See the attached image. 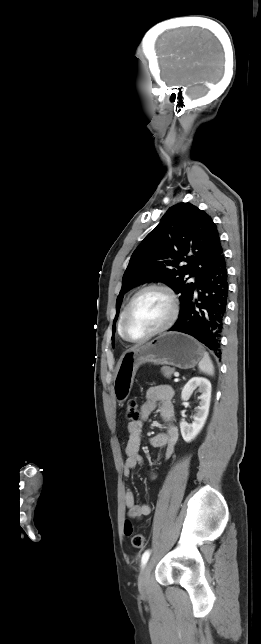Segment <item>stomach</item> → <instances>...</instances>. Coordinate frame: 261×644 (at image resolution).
I'll return each mask as SVG.
<instances>
[{"instance_id":"1","label":"stomach","mask_w":261,"mask_h":644,"mask_svg":"<svg viewBox=\"0 0 261 644\" xmlns=\"http://www.w3.org/2000/svg\"><path fill=\"white\" fill-rule=\"evenodd\" d=\"M203 347L191 336L168 332L124 353L114 377L113 393L118 402L130 395L136 372L140 365L152 363L179 369L195 367L204 356Z\"/></svg>"}]
</instances>
